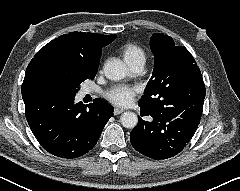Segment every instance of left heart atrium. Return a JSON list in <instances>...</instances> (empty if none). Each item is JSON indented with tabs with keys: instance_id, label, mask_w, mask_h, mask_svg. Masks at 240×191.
<instances>
[{
	"instance_id": "1",
	"label": "left heart atrium",
	"mask_w": 240,
	"mask_h": 191,
	"mask_svg": "<svg viewBox=\"0 0 240 191\" xmlns=\"http://www.w3.org/2000/svg\"><path fill=\"white\" fill-rule=\"evenodd\" d=\"M137 91L134 86L116 85L106 93V97L116 105L125 106L133 100Z\"/></svg>"
}]
</instances>
